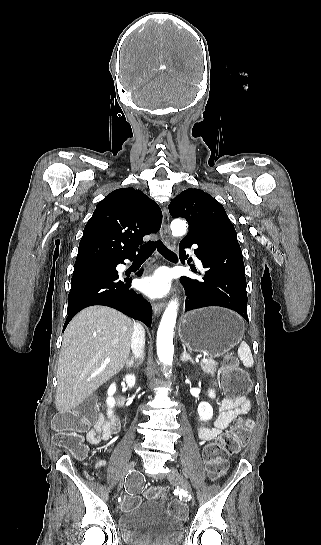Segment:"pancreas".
Segmentation results:
<instances>
[{"instance_id":"1","label":"pancreas","mask_w":321,"mask_h":545,"mask_svg":"<svg viewBox=\"0 0 321 545\" xmlns=\"http://www.w3.org/2000/svg\"><path fill=\"white\" fill-rule=\"evenodd\" d=\"M202 367V371L206 373V375H211V377H214L216 371H217V361H213V359H207L205 363H200Z\"/></svg>"}]
</instances>
